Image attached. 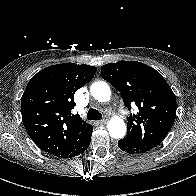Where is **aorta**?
Instances as JSON below:
<instances>
[{"label": "aorta", "mask_w": 196, "mask_h": 196, "mask_svg": "<svg viewBox=\"0 0 196 196\" xmlns=\"http://www.w3.org/2000/svg\"><path fill=\"white\" fill-rule=\"evenodd\" d=\"M91 95L99 102H107L110 100L111 91L106 82L98 81L90 87ZM108 132L112 138L121 139L126 134V125L120 117L112 118L107 124Z\"/></svg>", "instance_id": "762f6f07"}]
</instances>
